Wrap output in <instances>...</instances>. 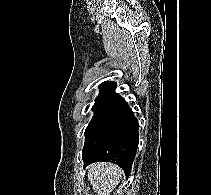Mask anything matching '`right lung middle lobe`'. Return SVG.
<instances>
[{
	"label": "right lung middle lobe",
	"instance_id": "obj_1",
	"mask_svg": "<svg viewBox=\"0 0 211 195\" xmlns=\"http://www.w3.org/2000/svg\"><path fill=\"white\" fill-rule=\"evenodd\" d=\"M112 96L113 94H110V93L99 94L98 98L96 99L95 104L92 107V110L94 111V116L85 130V137H87L90 131L92 130L100 114L102 113V111L104 110V108L106 107L110 99L112 98Z\"/></svg>",
	"mask_w": 211,
	"mask_h": 195
}]
</instances>
